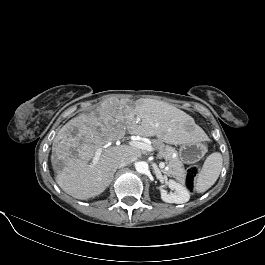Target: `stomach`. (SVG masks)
Returning <instances> with one entry per match:
<instances>
[{
    "label": "stomach",
    "mask_w": 265,
    "mask_h": 265,
    "mask_svg": "<svg viewBox=\"0 0 265 265\" xmlns=\"http://www.w3.org/2000/svg\"><path fill=\"white\" fill-rule=\"evenodd\" d=\"M205 153L203 144L194 140L181 144L178 155L181 162L185 164H193L199 161Z\"/></svg>",
    "instance_id": "1"
}]
</instances>
